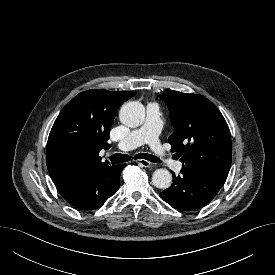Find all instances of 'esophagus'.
Returning <instances> with one entry per match:
<instances>
[{
  "mask_svg": "<svg viewBox=\"0 0 275 275\" xmlns=\"http://www.w3.org/2000/svg\"><path fill=\"white\" fill-rule=\"evenodd\" d=\"M136 162L139 165H141V166H143L145 168H148V167H150L152 165L151 162H149L148 160H145V159H138V160H136Z\"/></svg>",
  "mask_w": 275,
  "mask_h": 275,
  "instance_id": "34e87169",
  "label": "esophagus"
}]
</instances>
